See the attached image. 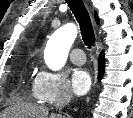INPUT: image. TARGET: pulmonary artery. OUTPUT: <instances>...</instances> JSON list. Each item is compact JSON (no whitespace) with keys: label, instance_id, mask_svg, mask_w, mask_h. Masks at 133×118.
<instances>
[{"label":"pulmonary artery","instance_id":"obj_1","mask_svg":"<svg viewBox=\"0 0 133 118\" xmlns=\"http://www.w3.org/2000/svg\"><path fill=\"white\" fill-rule=\"evenodd\" d=\"M70 60L76 65L84 64L86 58L83 49L74 48L70 53Z\"/></svg>","mask_w":133,"mask_h":118}]
</instances>
